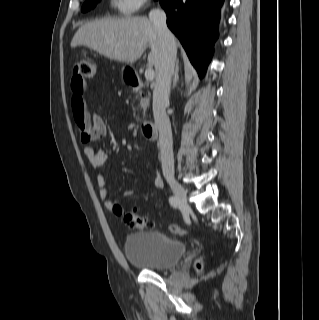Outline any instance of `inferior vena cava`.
<instances>
[{
    "mask_svg": "<svg viewBox=\"0 0 319 320\" xmlns=\"http://www.w3.org/2000/svg\"><path fill=\"white\" fill-rule=\"evenodd\" d=\"M162 47V57L157 70L153 90V115L159 130V146L162 170L165 176L174 175V156L172 130L166 107L169 103L171 78L174 73L176 60V42L173 34L166 25V14L161 9H153L149 13Z\"/></svg>",
    "mask_w": 319,
    "mask_h": 320,
    "instance_id": "1",
    "label": "inferior vena cava"
}]
</instances>
